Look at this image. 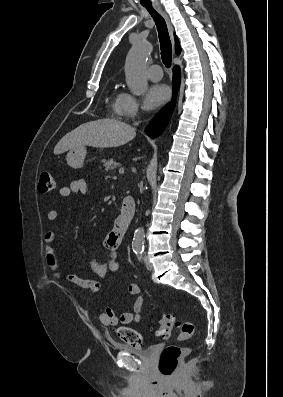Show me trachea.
<instances>
[{"label":"trachea","instance_id":"3493384b","mask_svg":"<svg viewBox=\"0 0 283 397\" xmlns=\"http://www.w3.org/2000/svg\"><path fill=\"white\" fill-rule=\"evenodd\" d=\"M148 12L151 14L159 35L160 49H161V59L164 65L169 68L172 61V44L170 41L167 25L165 19L157 13L152 5H143Z\"/></svg>","mask_w":283,"mask_h":397}]
</instances>
